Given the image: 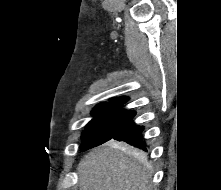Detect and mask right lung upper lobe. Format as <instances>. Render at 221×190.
<instances>
[{"mask_svg": "<svg viewBox=\"0 0 221 190\" xmlns=\"http://www.w3.org/2000/svg\"><path fill=\"white\" fill-rule=\"evenodd\" d=\"M127 101H128L127 97H118V98H112L108 102H101L98 105H108V106L120 107L121 104H124Z\"/></svg>", "mask_w": 221, "mask_h": 190, "instance_id": "obj_1", "label": "right lung upper lobe"}]
</instances>
